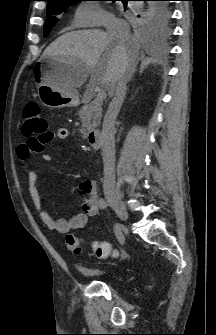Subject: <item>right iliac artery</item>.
I'll return each mask as SVG.
<instances>
[{
	"instance_id": "right-iliac-artery-1",
	"label": "right iliac artery",
	"mask_w": 216,
	"mask_h": 335,
	"mask_svg": "<svg viewBox=\"0 0 216 335\" xmlns=\"http://www.w3.org/2000/svg\"><path fill=\"white\" fill-rule=\"evenodd\" d=\"M108 206L107 202L105 201V199L103 198H100L99 199V207L101 209H106ZM114 232H115V235L118 239V241L120 242V244H124V236H123V233H122V229H121V226L119 224H115L114 225Z\"/></svg>"
}]
</instances>
